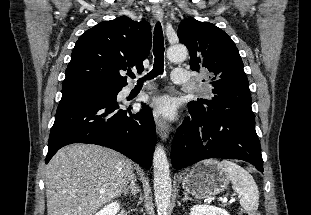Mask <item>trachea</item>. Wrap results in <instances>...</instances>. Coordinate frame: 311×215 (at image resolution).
<instances>
[{"label":"trachea","instance_id":"1","mask_svg":"<svg viewBox=\"0 0 311 215\" xmlns=\"http://www.w3.org/2000/svg\"><path fill=\"white\" fill-rule=\"evenodd\" d=\"M154 67L153 70L148 73L145 77L138 80V84H142L145 80L153 79L154 77L163 74L164 70V37L161 24L159 22L156 23L154 28ZM131 78H135L133 73L128 74Z\"/></svg>","mask_w":311,"mask_h":215}]
</instances>
